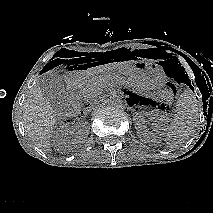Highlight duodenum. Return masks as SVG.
I'll return each instance as SVG.
<instances>
[{
	"label": "duodenum",
	"instance_id": "duodenum-1",
	"mask_svg": "<svg viewBox=\"0 0 213 213\" xmlns=\"http://www.w3.org/2000/svg\"><path fill=\"white\" fill-rule=\"evenodd\" d=\"M72 91H77V87L75 86V87H72V89H71ZM91 107V105L90 104H87V105H85L82 109L83 110H87V109H89Z\"/></svg>",
	"mask_w": 213,
	"mask_h": 213
}]
</instances>
